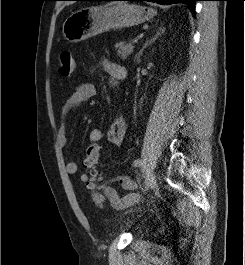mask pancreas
Returning <instances> with one entry per match:
<instances>
[{"mask_svg": "<svg viewBox=\"0 0 245 265\" xmlns=\"http://www.w3.org/2000/svg\"><path fill=\"white\" fill-rule=\"evenodd\" d=\"M133 48L134 46L130 43L119 45L117 54L121 57L122 60H125L129 55H131Z\"/></svg>", "mask_w": 245, "mask_h": 265, "instance_id": "obj_1", "label": "pancreas"}]
</instances>
